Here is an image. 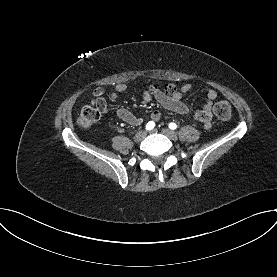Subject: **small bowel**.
I'll use <instances>...</instances> for the list:
<instances>
[{
  "mask_svg": "<svg viewBox=\"0 0 277 277\" xmlns=\"http://www.w3.org/2000/svg\"><path fill=\"white\" fill-rule=\"evenodd\" d=\"M192 89L191 84H185L181 87L179 91L174 92L173 94H166L163 92H156L154 94L155 99L157 102L163 106L164 108L173 111L178 114L192 116L195 119L203 121L205 123V128H209L210 118H211V110L213 106L214 100L217 99L218 93L212 87H206V96L207 101L204 104L203 108L199 111H194L189 108L186 104L182 102V97L185 93L189 92ZM127 90V85L124 83H120L115 86L114 90L110 94V98L113 102H117L119 100L120 94L124 93ZM105 90L101 87L96 88L92 93L91 104L92 106L99 107L101 111L107 113L108 109L106 107L105 100L103 95ZM143 99L145 102H150L152 100V95L145 91L143 93ZM116 115L124 122L131 124V125H140L143 121L141 116H137L133 114L126 108L117 107L116 108ZM150 118L152 121H159L161 118V113L158 110H154L150 114Z\"/></svg>",
  "mask_w": 277,
  "mask_h": 277,
  "instance_id": "obj_1",
  "label": "small bowel"
}]
</instances>
